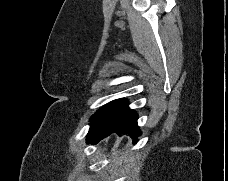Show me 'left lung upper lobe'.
<instances>
[{
    "instance_id": "left-lung-upper-lobe-1",
    "label": "left lung upper lobe",
    "mask_w": 228,
    "mask_h": 181,
    "mask_svg": "<svg viewBox=\"0 0 228 181\" xmlns=\"http://www.w3.org/2000/svg\"><path fill=\"white\" fill-rule=\"evenodd\" d=\"M127 110L128 103L123 100L108 103L91 117L90 130L108 128L118 124L127 113Z\"/></svg>"
}]
</instances>
